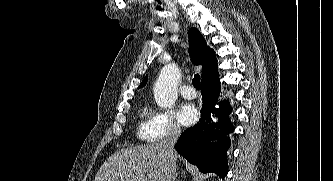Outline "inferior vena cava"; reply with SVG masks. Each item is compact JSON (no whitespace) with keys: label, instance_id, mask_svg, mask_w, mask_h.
<instances>
[{"label":"inferior vena cava","instance_id":"obj_1","mask_svg":"<svg viewBox=\"0 0 333 181\" xmlns=\"http://www.w3.org/2000/svg\"><path fill=\"white\" fill-rule=\"evenodd\" d=\"M181 134V129L177 125H173L164 139L161 141V146L168 158V170L166 172V181H174L176 176V159L177 154L174 150V145L176 144L179 136Z\"/></svg>","mask_w":333,"mask_h":181}]
</instances>
